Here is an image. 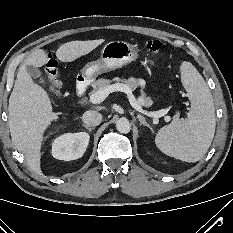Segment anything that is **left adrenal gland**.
Listing matches in <instances>:
<instances>
[{
	"mask_svg": "<svg viewBox=\"0 0 233 233\" xmlns=\"http://www.w3.org/2000/svg\"><path fill=\"white\" fill-rule=\"evenodd\" d=\"M137 118L140 121L141 125L147 126L152 131V127L146 122L145 118L142 115L138 114Z\"/></svg>",
	"mask_w": 233,
	"mask_h": 233,
	"instance_id": "a2214340",
	"label": "left adrenal gland"
}]
</instances>
